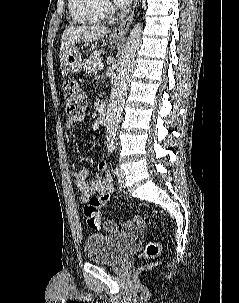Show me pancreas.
Segmentation results:
<instances>
[{
	"instance_id": "obj_1",
	"label": "pancreas",
	"mask_w": 239,
	"mask_h": 303,
	"mask_svg": "<svg viewBox=\"0 0 239 303\" xmlns=\"http://www.w3.org/2000/svg\"><path fill=\"white\" fill-rule=\"evenodd\" d=\"M102 54L101 50L94 51L88 59H86L84 64V70L88 74H96L98 71V63L101 62L100 55Z\"/></svg>"
}]
</instances>
